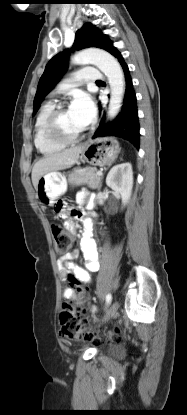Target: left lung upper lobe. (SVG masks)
I'll return each mask as SVG.
<instances>
[{
	"label": "left lung upper lobe",
	"mask_w": 187,
	"mask_h": 415,
	"mask_svg": "<svg viewBox=\"0 0 187 415\" xmlns=\"http://www.w3.org/2000/svg\"><path fill=\"white\" fill-rule=\"evenodd\" d=\"M111 43L112 42L106 35L95 29L92 24L86 23L83 25L81 30L76 33L73 48L84 49L89 47H97L107 50ZM67 66L68 54L65 51L58 53L48 62L38 83L37 92L34 98L33 114L37 112L40 103L46 94L60 80L66 71Z\"/></svg>",
	"instance_id": "5c2ea615"
}]
</instances>
